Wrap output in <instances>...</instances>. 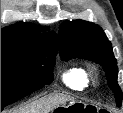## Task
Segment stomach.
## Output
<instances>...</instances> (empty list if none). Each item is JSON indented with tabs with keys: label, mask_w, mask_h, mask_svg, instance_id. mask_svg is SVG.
<instances>
[{
	"label": "stomach",
	"mask_w": 123,
	"mask_h": 113,
	"mask_svg": "<svg viewBox=\"0 0 123 113\" xmlns=\"http://www.w3.org/2000/svg\"><path fill=\"white\" fill-rule=\"evenodd\" d=\"M87 104L79 101V100H75V101H71L68 104H62L59 105L58 107H56L54 109V112H60V113H80V112H84L86 108Z\"/></svg>",
	"instance_id": "stomach-1"
}]
</instances>
